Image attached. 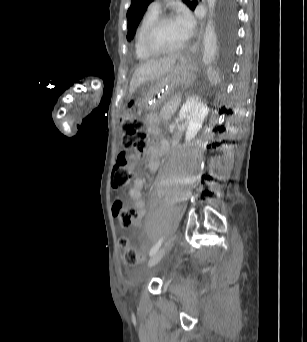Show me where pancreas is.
<instances>
[{
    "instance_id": "obj_1",
    "label": "pancreas",
    "mask_w": 307,
    "mask_h": 342,
    "mask_svg": "<svg viewBox=\"0 0 307 342\" xmlns=\"http://www.w3.org/2000/svg\"><path fill=\"white\" fill-rule=\"evenodd\" d=\"M168 103L169 104H177L179 102V99L177 98V96L175 94H172L169 98H168ZM160 115L161 117H170L172 111H173V107L172 106H162L160 108Z\"/></svg>"
}]
</instances>
